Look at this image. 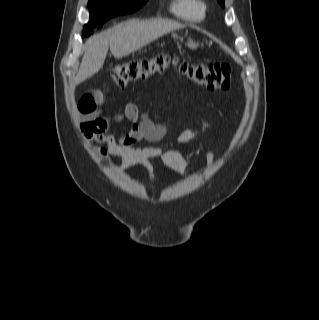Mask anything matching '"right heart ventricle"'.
Listing matches in <instances>:
<instances>
[{"mask_svg":"<svg viewBox=\"0 0 319 320\" xmlns=\"http://www.w3.org/2000/svg\"><path fill=\"white\" fill-rule=\"evenodd\" d=\"M206 8L203 0H175L170 10L178 18L200 21L205 16Z\"/></svg>","mask_w":319,"mask_h":320,"instance_id":"1","label":"right heart ventricle"}]
</instances>
